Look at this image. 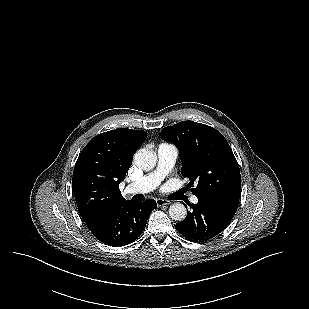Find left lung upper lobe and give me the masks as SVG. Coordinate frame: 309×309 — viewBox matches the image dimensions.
<instances>
[{
    "instance_id": "5c2ea615",
    "label": "left lung upper lobe",
    "mask_w": 309,
    "mask_h": 309,
    "mask_svg": "<svg viewBox=\"0 0 309 309\" xmlns=\"http://www.w3.org/2000/svg\"><path fill=\"white\" fill-rule=\"evenodd\" d=\"M161 138L174 143L182 160V175L196 196H214L239 201L241 176L235 156L216 129L193 121L164 127Z\"/></svg>"
}]
</instances>
